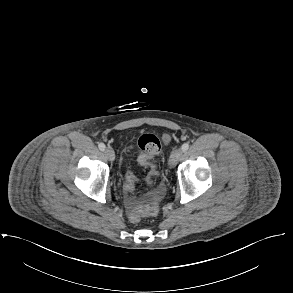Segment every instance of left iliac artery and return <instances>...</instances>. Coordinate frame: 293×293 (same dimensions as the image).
Returning <instances> with one entry per match:
<instances>
[{"label": "left iliac artery", "mask_w": 293, "mask_h": 293, "mask_svg": "<svg viewBox=\"0 0 293 293\" xmlns=\"http://www.w3.org/2000/svg\"><path fill=\"white\" fill-rule=\"evenodd\" d=\"M181 149L183 152L187 151L189 149V143L185 142L182 146Z\"/></svg>", "instance_id": "left-iliac-artery-1"}]
</instances>
